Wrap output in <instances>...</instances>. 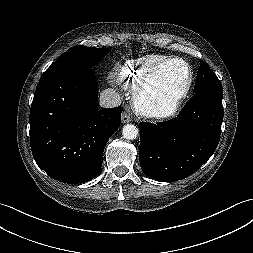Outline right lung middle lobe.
Returning <instances> with one entry per match:
<instances>
[{
  "mask_svg": "<svg viewBox=\"0 0 253 253\" xmlns=\"http://www.w3.org/2000/svg\"><path fill=\"white\" fill-rule=\"evenodd\" d=\"M109 49L86 47L82 45L74 46L63 53L42 75L41 78L50 74L74 69L87 67L92 70L91 66L102 59Z\"/></svg>",
  "mask_w": 253,
  "mask_h": 253,
  "instance_id": "1",
  "label": "right lung middle lobe"
}]
</instances>
